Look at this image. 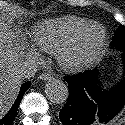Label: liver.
Segmentation results:
<instances>
[{
  "instance_id": "liver-1",
  "label": "liver",
  "mask_w": 125,
  "mask_h": 125,
  "mask_svg": "<svg viewBox=\"0 0 125 125\" xmlns=\"http://www.w3.org/2000/svg\"><path fill=\"white\" fill-rule=\"evenodd\" d=\"M20 61L7 26L0 22V117L13 104L21 84Z\"/></svg>"
}]
</instances>
